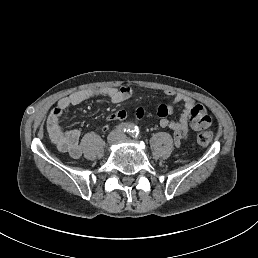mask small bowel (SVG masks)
I'll list each match as a JSON object with an SVG mask.
<instances>
[{"label": "small bowel", "mask_w": 258, "mask_h": 258, "mask_svg": "<svg viewBox=\"0 0 258 258\" xmlns=\"http://www.w3.org/2000/svg\"><path fill=\"white\" fill-rule=\"evenodd\" d=\"M165 94L171 98V102L169 104H160L157 108V115L160 118V126L162 128L173 130L176 146H179L181 141L188 137L190 128L200 130L212 124V118L206 109L202 105L197 104L190 96L174 90H166ZM132 95L133 89L131 87L122 86L120 88L80 90L60 99L50 112L47 120V132L50 140L61 152L68 153L72 158H79L82 155L80 131L77 129L63 130L61 125L63 113L68 108L79 105L94 97H106L117 104L128 100ZM179 104H183V110L179 119L173 120L169 118ZM136 116L138 119H143L147 116V111L140 107L136 112ZM126 118V111L118 110L111 113L107 117V121H123ZM106 127L107 125H101L99 130H104Z\"/></svg>", "instance_id": "c3829d8e"}]
</instances>
